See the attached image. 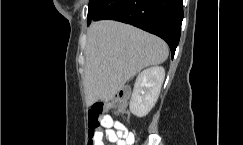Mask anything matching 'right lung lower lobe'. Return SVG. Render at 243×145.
I'll return each mask as SVG.
<instances>
[{"instance_id":"right-lung-lower-lobe-1","label":"right lung lower lobe","mask_w":243,"mask_h":145,"mask_svg":"<svg viewBox=\"0 0 243 145\" xmlns=\"http://www.w3.org/2000/svg\"><path fill=\"white\" fill-rule=\"evenodd\" d=\"M183 0H93L87 22L117 20L164 39L174 56L180 39Z\"/></svg>"}]
</instances>
